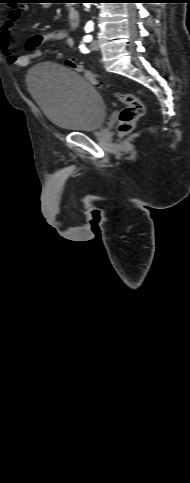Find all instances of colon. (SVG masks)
I'll list each match as a JSON object with an SVG mask.
<instances>
[{
	"label": "colon",
	"mask_w": 190,
	"mask_h": 483,
	"mask_svg": "<svg viewBox=\"0 0 190 483\" xmlns=\"http://www.w3.org/2000/svg\"><path fill=\"white\" fill-rule=\"evenodd\" d=\"M63 62L68 68L82 73L91 84L101 86V82L96 75L92 71L86 69L82 64L77 63L70 58L64 59ZM115 97L124 104V108L119 115L118 132L120 134H127L134 129L138 119L143 115L144 105L142 101L133 94L115 93Z\"/></svg>",
	"instance_id": "1"
}]
</instances>
